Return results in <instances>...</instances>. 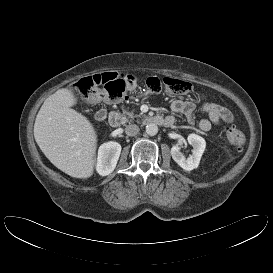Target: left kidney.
I'll use <instances>...</instances> for the list:
<instances>
[{
  "label": "left kidney",
  "instance_id": "obj_1",
  "mask_svg": "<svg viewBox=\"0 0 273 273\" xmlns=\"http://www.w3.org/2000/svg\"><path fill=\"white\" fill-rule=\"evenodd\" d=\"M188 143L192 145V155L188 158L180 151L179 145H173L171 148V155L173 160L184 170L191 171L198 167L201 157L206 148V142L204 138L197 134H190L188 136Z\"/></svg>",
  "mask_w": 273,
  "mask_h": 273
}]
</instances>
